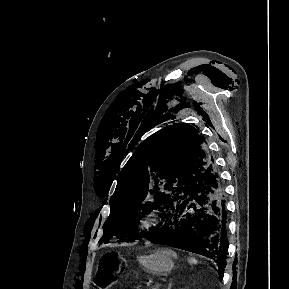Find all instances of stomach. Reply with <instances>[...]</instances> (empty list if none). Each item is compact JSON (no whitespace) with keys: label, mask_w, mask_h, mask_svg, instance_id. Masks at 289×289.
<instances>
[{"label":"stomach","mask_w":289,"mask_h":289,"mask_svg":"<svg viewBox=\"0 0 289 289\" xmlns=\"http://www.w3.org/2000/svg\"><path fill=\"white\" fill-rule=\"evenodd\" d=\"M173 253L169 249H160L149 255H141L138 261L143 269L153 275L168 273L174 267Z\"/></svg>","instance_id":"1"}]
</instances>
